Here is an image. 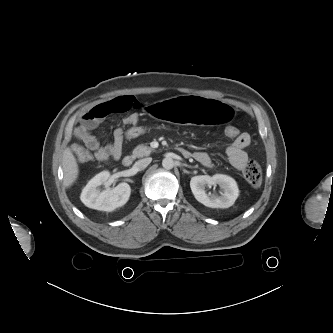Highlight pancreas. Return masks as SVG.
Wrapping results in <instances>:
<instances>
[{
  "mask_svg": "<svg viewBox=\"0 0 333 333\" xmlns=\"http://www.w3.org/2000/svg\"><path fill=\"white\" fill-rule=\"evenodd\" d=\"M153 149L151 147H147L144 145H139L133 150V156L134 157H143V156H148Z\"/></svg>",
  "mask_w": 333,
  "mask_h": 333,
  "instance_id": "1",
  "label": "pancreas"
}]
</instances>
